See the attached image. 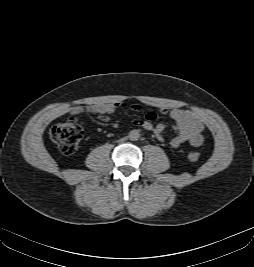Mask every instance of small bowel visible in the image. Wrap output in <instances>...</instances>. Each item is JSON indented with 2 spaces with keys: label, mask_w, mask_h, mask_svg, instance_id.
<instances>
[{
  "label": "small bowel",
  "mask_w": 254,
  "mask_h": 267,
  "mask_svg": "<svg viewBox=\"0 0 254 267\" xmlns=\"http://www.w3.org/2000/svg\"><path fill=\"white\" fill-rule=\"evenodd\" d=\"M121 102L113 103H94L86 106H75L71 108L72 115L94 114L102 121H108L109 115L113 114L118 108L122 107ZM133 111H140L139 104H133L130 107ZM161 114H168L173 120V128L175 136L170 140V145L173 148H178L184 144H189L193 147H199L204 142L203 130L204 126L201 120L191 111L185 109H168L163 107L160 109ZM157 115L154 112L146 113L143 119L133 121L135 126L142 127L147 131H151L159 140H162L163 133L166 128L164 123L155 124Z\"/></svg>",
  "instance_id": "1"
}]
</instances>
